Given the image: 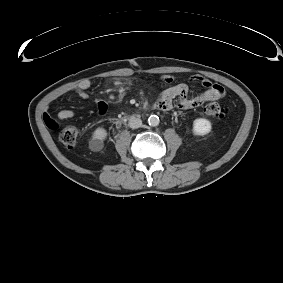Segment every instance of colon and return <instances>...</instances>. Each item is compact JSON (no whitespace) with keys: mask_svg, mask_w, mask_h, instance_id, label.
<instances>
[{"mask_svg":"<svg viewBox=\"0 0 283 283\" xmlns=\"http://www.w3.org/2000/svg\"><path fill=\"white\" fill-rule=\"evenodd\" d=\"M228 110L219 103H209L204 108V113L214 119H223ZM78 132L74 127H66L59 133V141L66 147H73L77 142Z\"/></svg>","mask_w":283,"mask_h":283,"instance_id":"5ec220e1","label":"colon"}]
</instances>
